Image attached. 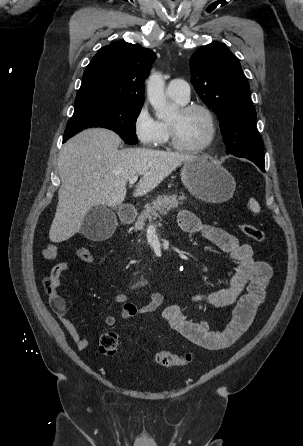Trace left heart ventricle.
Listing matches in <instances>:
<instances>
[{
    "mask_svg": "<svg viewBox=\"0 0 303 446\" xmlns=\"http://www.w3.org/2000/svg\"><path fill=\"white\" fill-rule=\"evenodd\" d=\"M168 122L175 126L177 138L185 146H198L209 135L208 120L201 111L183 115L177 110Z\"/></svg>",
    "mask_w": 303,
    "mask_h": 446,
    "instance_id": "b2bd125f",
    "label": "left heart ventricle"
}]
</instances>
